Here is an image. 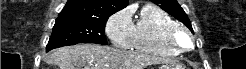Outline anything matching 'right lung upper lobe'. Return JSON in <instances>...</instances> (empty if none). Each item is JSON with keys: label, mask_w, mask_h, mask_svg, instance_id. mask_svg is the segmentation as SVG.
<instances>
[{"label": "right lung upper lobe", "mask_w": 246, "mask_h": 69, "mask_svg": "<svg viewBox=\"0 0 246 69\" xmlns=\"http://www.w3.org/2000/svg\"><path fill=\"white\" fill-rule=\"evenodd\" d=\"M127 5L128 0H68L57 19H108Z\"/></svg>", "instance_id": "obj_1"}]
</instances>
